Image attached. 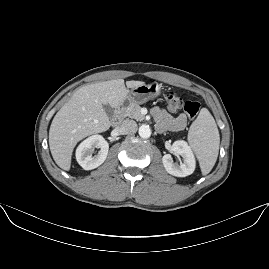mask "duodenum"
<instances>
[{
	"label": "duodenum",
	"mask_w": 269,
	"mask_h": 269,
	"mask_svg": "<svg viewBox=\"0 0 269 269\" xmlns=\"http://www.w3.org/2000/svg\"><path fill=\"white\" fill-rule=\"evenodd\" d=\"M124 109L122 105L117 106L114 117L112 119L113 125H118L123 119Z\"/></svg>",
	"instance_id": "1"
}]
</instances>
